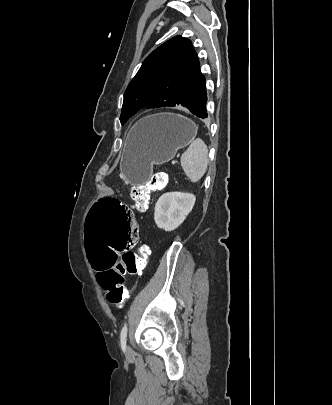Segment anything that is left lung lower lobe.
<instances>
[{
    "instance_id": "left-lung-lower-lobe-1",
    "label": "left lung lower lobe",
    "mask_w": 332,
    "mask_h": 405,
    "mask_svg": "<svg viewBox=\"0 0 332 405\" xmlns=\"http://www.w3.org/2000/svg\"><path fill=\"white\" fill-rule=\"evenodd\" d=\"M206 102H207V91L204 77L199 88L196 102L193 105V107L189 109L190 112L200 118H206L207 117Z\"/></svg>"
}]
</instances>
